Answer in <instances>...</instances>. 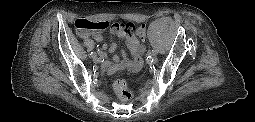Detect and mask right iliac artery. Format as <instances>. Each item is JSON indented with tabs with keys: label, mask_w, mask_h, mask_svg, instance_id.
Listing matches in <instances>:
<instances>
[{
	"label": "right iliac artery",
	"mask_w": 255,
	"mask_h": 122,
	"mask_svg": "<svg viewBox=\"0 0 255 122\" xmlns=\"http://www.w3.org/2000/svg\"><path fill=\"white\" fill-rule=\"evenodd\" d=\"M94 55H96L95 52H91V53H90V56H91V57H93Z\"/></svg>",
	"instance_id": "right-iliac-artery-1"
}]
</instances>
